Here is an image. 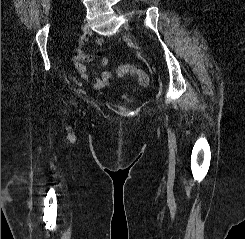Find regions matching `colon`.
I'll use <instances>...</instances> for the list:
<instances>
[{"instance_id": "obj_1", "label": "colon", "mask_w": 245, "mask_h": 239, "mask_svg": "<svg viewBox=\"0 0 245 239\" xmlns=\"http://www.w3.org/2000/svg\"><path fill=\"white\" fill-rule=\"evenodd\" d=\"M117 73L119 75H124L126 73L134 75L141 86H147L149 83V75L146 72L131 65H123L118 67Z\"/></svg>"}]
</instances>
